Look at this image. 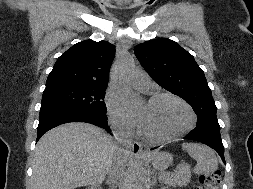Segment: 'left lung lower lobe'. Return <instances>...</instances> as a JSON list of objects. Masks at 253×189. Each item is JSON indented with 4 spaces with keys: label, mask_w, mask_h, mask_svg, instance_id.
I'll return each instance as SVG.
<instances>
[{
    "label": "left lung lower lobe",
    "mask_w": 253,
    "mask_h": 189,
    "mask_svg": "<svg viewBox=\"0 0 253 189\" xmlns=\"http://www.w3.org/2000/svg\"><path fill=\"white\" fill-rule=\"evenodd\" d=\"M184 139L195 140L207 144L218 152L222 161L225 163L220 126L198 125L188 135H186Z\"/></svg>",
    "instance_id": "0a47b994"
}]
</instances>
